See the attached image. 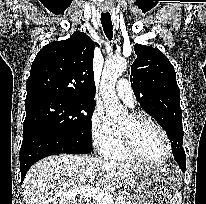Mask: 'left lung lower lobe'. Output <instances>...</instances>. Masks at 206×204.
<instances>
[{"label":"left lung lower lobe","mask_w":206,"mask_h":204,"mask_svg":"<svg viewBox=\"0 0 206 204\" xmlns=\"http://www.w3.org/2000/svg\"><path fill=\"white\" fill-rule=\"evenodd\" d=\"M172 152L174 159L178 162L179 167L181 168L182 172L186 170V155L182 148L180 147H172Z\"/></svg>","instance_id":"1"}]
</instances>
